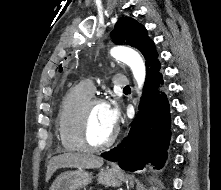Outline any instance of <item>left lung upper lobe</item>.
Here are the masks:
<instances>
[{
  "label": "left lung upper lobe",
  "instance_id": "left-lung-upper-lobe-1",
  "mask_svg": "<svg viewBox=\"0 0 221 190\" xmlns=\"http://www.w3.org/2000/svg\"><path fill=\"white\" fill-rule=\"evenodd\" d=\"M116 44L130 45L137 48L145 57L146 70L158 59L154 42L148 37L143 25L130 17L120 18L112 31Z\"/></svg>",
  "mask_w": 221,
  "mask_h": 190
}]
</instances>
